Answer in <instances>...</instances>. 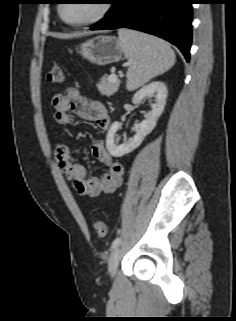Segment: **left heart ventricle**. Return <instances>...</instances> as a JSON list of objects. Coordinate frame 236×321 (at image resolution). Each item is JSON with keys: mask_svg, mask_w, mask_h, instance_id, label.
Returning <instances> with one entry per match:
<instances>
[{"mask_svg": "<svg viewBox=\"0 0 236 321\" xmlns=\"http://www.w3.org/2000/svg\"><path fill=\"white\" fill-rule=\"evenodd\" d=\"M100 7L98 0H75L66 3L63 15L69 21H78L92 17Z\"/></svg>", "mask_w": 236, "mask_h": 321, "instance_id": "1", "label": "left heart ventricle"}]
</instances>
